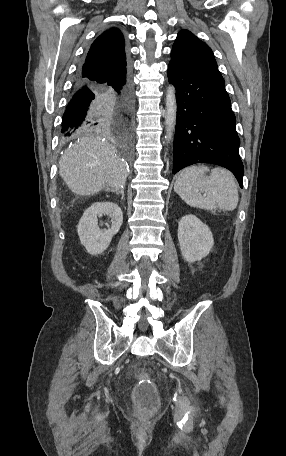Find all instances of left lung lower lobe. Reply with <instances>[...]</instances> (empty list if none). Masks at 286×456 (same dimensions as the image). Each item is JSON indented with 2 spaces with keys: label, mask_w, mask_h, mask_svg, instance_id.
Segmentation results:
<instances>
[{
  "label": "left lung lower lobe",
  "mask_w": 286,
  "mask_h": 456,
  "mask_svg": "<svg viewBox=\"0 0 286 456\" xmlns=\"http://www.w3.org/2000/svg\"><path fill=\"white\" fill-rule=\"evenodd\" d=\"M168 78L176 88L178 109L173 174L195 163H211L229 169L243 188L236 118L224 85L174 63H169Z\"/></svg>",
  "instance_id": "0a47b994"
}]
</instances>
